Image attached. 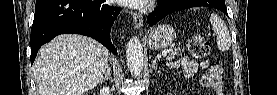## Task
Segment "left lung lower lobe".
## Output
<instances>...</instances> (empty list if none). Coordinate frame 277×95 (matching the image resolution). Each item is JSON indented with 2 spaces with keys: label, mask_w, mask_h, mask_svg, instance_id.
Wrapping results in <instances>:
<instances>
[{
  "label": "left lung lower lobe",
  "mask_w": 277,
  "mask_h": 95,
  "mask_svg": "<svg viewBox=\"0 0 277 95\" xmlns=\"http://www.w3.org/2000/svg\"><path fill=\"white\" fill-rule=\"evenodd\" d=\"M201 0H159V5L156 9L147 17V22L150 26H153L165 16L190 7L200 6ZM227 14L225 6L217 8ZM228 15V14H227Z\"/></svg>",
  "instance_id": "0a47b994"
}]
</instances>
